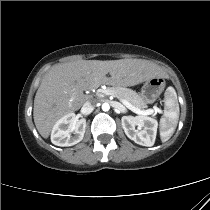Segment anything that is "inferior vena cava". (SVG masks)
I'll use <instances>...</instances> for the list:
<instances>
[{
    "mask_svg": "<svg viewBox=\"0 0 210 210\" xmlns=\"http://www.w3.org/2000/svg\"><path fill=\"white\" fill-rule=\"evenodd\" d=\"M97 101L94 99L91 100H87L82 107V110L84 111V113L89 114L93 111L95 105H96Z\"/></svg>",
    "mask_w": 210,
    "mask_h": 210,
    "instance_id": "inferior-vena-cava-1",
    "label": "inferior vena cava"
}]
</instances>
